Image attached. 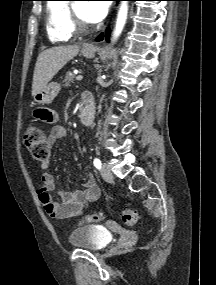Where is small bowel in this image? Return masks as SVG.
Returning a JSON list of instances; mask_svg holds the SVG:
<instances>
[{
	"label": "small bowel",
	"instance_id": "small-bowel-1",
	"mask_svg": "<svg viewBox=\"0 0 216 285\" xmlns=\"http://www.w3.org/2000/svg\"><path fill=\"white\" fill-rule=\"evenodd\" d=\"M89 101L90 97L85 96ZM35 117L46 122H54L56 115L47 109H38ZM67 136V130L62 125H55L49 136L46 137L49 145H53L56 141L64 139ZM49 166V159L42 162L41 167L46 170ZM42 187L38 190V197L46 213L56 219H66L77 216L82 213L86 205L98 199L100 190L93 176L89 175L83 184L82 189L73 191H59V201H55L52 192L54 190V181L50 173L45 172L42 176Z\"/></svg>",
	"mask_w": 216,
	"mask_h": 285
}]
</instances>
